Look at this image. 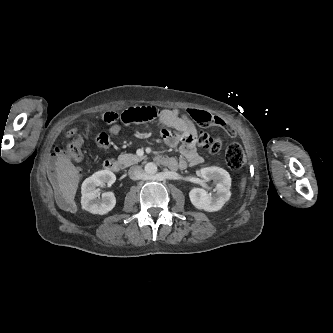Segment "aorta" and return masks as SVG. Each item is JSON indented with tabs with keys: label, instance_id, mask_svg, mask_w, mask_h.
Wrapping results in <instances>:
<instances>
[{
	"label": "aorta",
	"instance_id": "obj_1",
	"mask_svg": "<svg viewBox=\"0 0 333 333\" xmlns=\"http://www.w3.org/2000/svg\"><path fill=\"white\" fill-rule=\"evenodd\" d=\"M144 170H145V173L148 174V175H154L157 173V166L152 163V162H149L147 163L145 166H144Z\"/></svg>",
	"mask_w": 333,
	"mask_h": 333
}]
</instances>
